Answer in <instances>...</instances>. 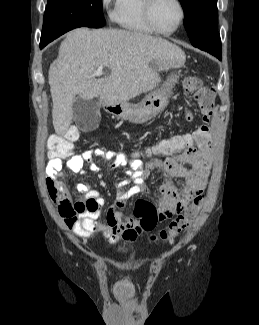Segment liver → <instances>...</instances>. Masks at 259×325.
<instances>
[{
    "label": "liver",
    "instance_id": "6515ba94",
    "mask_svg": "<svg viewBox=\"0 0 259 325\" xmlns=\"http://www.w3.org/2000/svg\"><path fill=\"white\" fill-rule=\"evenodd\" d=\"M186 55L160 37L119 29L78 28L67 33L57 59L49 68L56 134L64 135L73 121L72 105L79 96L98 97L100 104L126 102L152 90L160 79L157 70L179 68ZM107 67L110 76L93 74Z\"/></svg>",
    "mask_w": 259,
    "mask_h": 325
}]
</instances>
